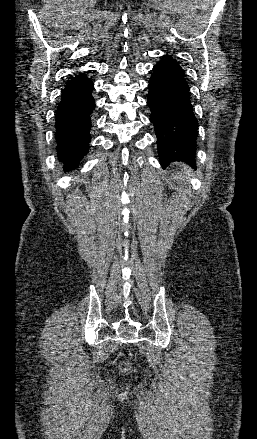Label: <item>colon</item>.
Wrapping results in <instances>:
<instances>
[{
  "mask_svg": "<svg viewBox=\"0 0 257 439\" xmlns=\"http://www.w3.org/2000/svg\"><path fill=\"white\" fill-rule=\"evenodd\" d=\"M120 365H121L122 369H126L127 368V364L125 362L121 363Z\"/></svg>",
  "mask_w": 257,
  "mask_h": 439,
  "instance_id": "colon-1",
  "label": "colon"
}]
</instances>
